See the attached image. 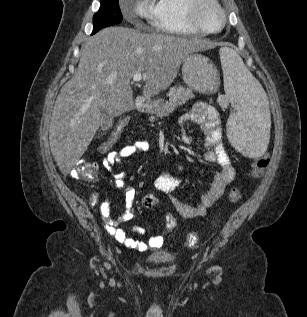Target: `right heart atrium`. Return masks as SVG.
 I'll list each match as a JSON object with an SVG mask.
<instances>
[{
	"label": "right heart atrium",
	"mask_w": 307,
	"mask_h": 317,
	"mask_svg": "<svg viewBox=\"0 0 307 317\" xmlns=\"http://www.w3.org/2000/svg\"><path fill=\"white\" fill-rule=\"evenodd\" d=\"M131 14L146 19H151L153 14V6L150 0H137L131 9Z\"/></svg>",
	"instance_id": "right-heart-atrium-1"
}]
</instances>
